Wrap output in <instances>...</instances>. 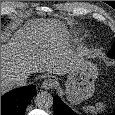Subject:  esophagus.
Returning <instances> with one entry per match:
<instances>
[{"instance_id": "34e87169", "label": "esophagus", "mask_w": 115, "mask_h": 115, "mask_svg": "<svg viewBox=\"0 0 115 115\" xmlns=\"http://www.w3.org/2000/svg\"><path fill=\"white\" fill-rule=\"evenodd\" d=\"M54 85H55V81L53 79H46L45 81H43L41 88L45 90H49L52 89Z\"/></svg>"}]
</instances>
